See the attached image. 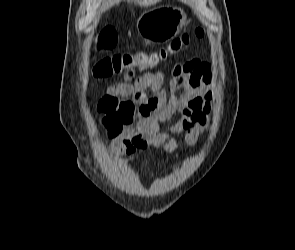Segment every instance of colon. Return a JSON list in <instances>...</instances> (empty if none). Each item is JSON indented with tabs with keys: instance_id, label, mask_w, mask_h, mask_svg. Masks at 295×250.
<instances>
[{
	"instance_id": "obj_1",
	"label": "colon",
	"mask_w": 295,
	"mask_h": 250,
	"mask_svg": "<svg viewBox=\"0 0 295 250\" xmlns=\"http://www.w3.org/2000/svg\"><path fill=\"white\" fill-rule=\"evenodd\" d=\"M202 28H196L193 34H182L174 38L167 46L151 54L119 53L99 59L93 69L96 78H108L133 68L145 67L155 61L166 58L183 50L191 41L192 36L201 38ZM97 48L110 50L117 43V33L112 27H105L97 36ZM98 111L103 114L102 124L109 137L119 136L126 126H131L138 118L139 109L131 100H119L118 97L104 96L98 103Z\"/></svg>"
}]
</instances>
